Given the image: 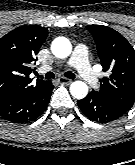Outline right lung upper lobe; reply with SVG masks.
<instances>
[{
  "label": "right lung upper lobe",
  "mask_w": 135,
  "mask_h": 165,
  "mask_svg": "<svg viewBox=\"0 0 135 165\" xmlns=\"http://www.w3.org/2000/svg\"><path fill=\"white\" fill-rule=\"evenodd\" d=\"M47 36L46 28L30 25L16 28L0 39V94L47 86L49 81L38 79L32 84L29 77L36 72V55Z\"/></svg>",
  "instance_id": "obj_1"
}]
</instances>
